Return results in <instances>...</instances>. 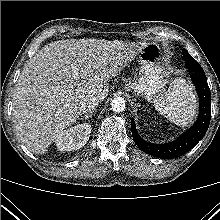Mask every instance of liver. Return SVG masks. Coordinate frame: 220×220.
I'll list each match as a JSON object with an SVG mask.
<instances>
[{"mask_svg":"<svg viewBox=\"0 0 220 220\" xmlns=\"http://www.w3.org/2000/svg\"><path fill=\"white\" fill-rule=\"evenodd\" d=\"M146 43L67 39L44 46L24 66L13 94L14 128L35 154L48 147L81 115L80 103L91 96L104 100L108 80L118 75ZM79 78L72 77V68Z\"/></svg>","mask_w":220,"mask_h":220,"instance_id":"liver-1","label":"liver"}]
</instances>
